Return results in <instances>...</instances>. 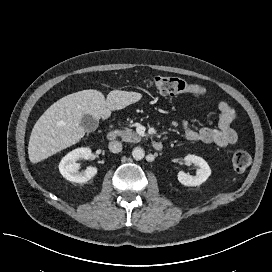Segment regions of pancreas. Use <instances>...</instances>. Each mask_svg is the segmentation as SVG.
Here are the masks:
<instances>
[{"label":"pancreas","mask_w":272,"mask_h":272,"mask_svg":"<svg viewBox=\"0 0 272 272\" xmlns=\"http://www.w3.org/2000/svg\"><path fill=\"white\" fill-rule=\"evenodd\" d=\"M119 136H121L122 140L125 142L137 143L141 140V136L133 131V129L129 128L119 131Z\"/></svg>","instance_id":"obj_1"}]
</instances>
